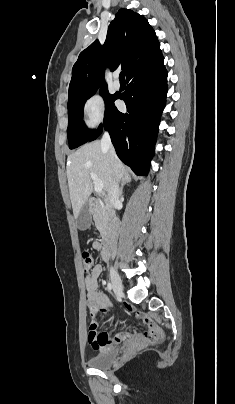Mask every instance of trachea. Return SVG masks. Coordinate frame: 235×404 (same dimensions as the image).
I'll list each match as a JSON object with an SVG mask.
<instances>
[{
	"label": "trachea",
	"instance_id": "obj_1",
	"mask_svg": "<svg viewBox=\"0 0 235 404\" xmlns=\"http://www.w3.org/2000/svg\"><path fill=\"white\" fill-rule=\"evenodd\" d=\"M119 80L120 81H125V74H124V72L122 71V72H120V75H119Z\"/></svg>",
	"mask_w": 235,
	"mask_h": 404
}]
</instances>
